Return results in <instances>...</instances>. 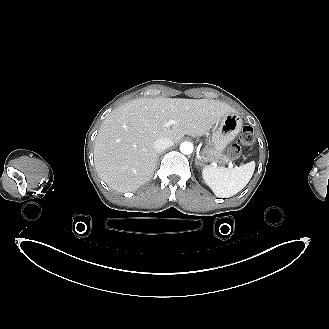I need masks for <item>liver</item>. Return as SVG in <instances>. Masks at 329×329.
Returning <instances> with one entry per match:
<instances>
[{
	"mask_svg": "<svg viewBox=\"0 0 329 329\" xmlns=\"http://www.w3.org/2000/svg\"><path fill=\"white\" fill-rule=\"evenodd\" d=\"M231 106L210 99L141 98L114 109L96 137L94 161L99 177L118 192L135 191L151 180L157 166L154 142L168 137L201 136ZM174 120L172 128L162 125Z\"/></svg>",
	"mask_w": 329,
	"mask_h": 329,
	"instance_id": "liver-1",
	"label": "liver"
}]
</instances>
